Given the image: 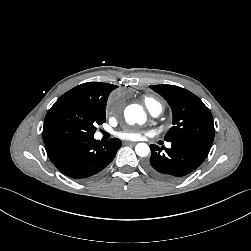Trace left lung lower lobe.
I'll use <instances>...</instances> for the list:
<instances>
[{
  "label": "left lung lower lobe",
  "mask_w": 251,
  "mask_h": 251,
  "mask_svg": "<svg viewBox=\"0 0 251 251\" xmlns=\"http://www.w3.org/2000/svg\"><path fill=\"white\" fill-rule=\"evenodd\" d=\"M170 148L151 145L147 170L164 181L178 180L197 169L207 157L212 144L199 140L170 141ZM165 150V153L162 152Z\"/></svg>",
  "instance_id": "1"
}]
</instances>
